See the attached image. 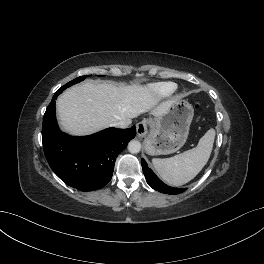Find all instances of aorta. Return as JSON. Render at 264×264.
Listing matches in <instances>:
<instances>
[{"instance_id":"762f6f07","label":"aorta","mask_w":264,"mask_h":264,"mask_svg":"<svg viewBox=\"0 0 264 264\" xmlns=\"http://www.w3.org/2000/svg\"><path fill=\"white\" fill-rule=\"evenodd\" d=\"M128 150L133 154L139 153L141 150V143L137 140H131L128 144Z\"/></svg>"}]
</instances>
